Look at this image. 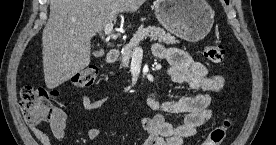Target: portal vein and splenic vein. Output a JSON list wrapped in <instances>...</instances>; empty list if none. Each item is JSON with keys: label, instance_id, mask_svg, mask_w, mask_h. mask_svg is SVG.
<instances>
[{"label": "portal vein and splenic vein", "instance_id": "18ae733b", "mask_svg": "<svg viewBox=\"0 0 276 145\" xmlns=\"http://www.w3.org/2000/svg\"><path fill=\"white\" fill-rule=\"evenodd\" d=\"M104 32H105V35L111 37L114 40L118 38V36L113 33V23L112 22H109L106 24V26L104 27ZM140 50H141L140 47H137L135 49V51H140Z\"/></svg>", "mask_w": 276, "mask_h": 145}]
</instances>
